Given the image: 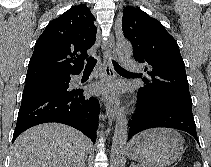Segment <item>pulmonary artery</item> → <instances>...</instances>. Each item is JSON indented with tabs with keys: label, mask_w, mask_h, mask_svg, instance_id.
<instances>
[{
	"label": "pulmonary artery",
	"mask_w": 211,
	"mask_h": 167,
	"mask_svg": "<svg viewBox=\"0 0 211 167\" xmlns=\"http://www.w3.org/2000/svg\"><path fill=\"white\" fill-rule=\"evenodd\" d=\"M123 65L125 68L129 69V70H134L137 68V63L135 60L131 59V58H125L123 60ZM79 78V76L77 77Z\"/></svg>",
	"instance_id": "1"
}]
</instances>
